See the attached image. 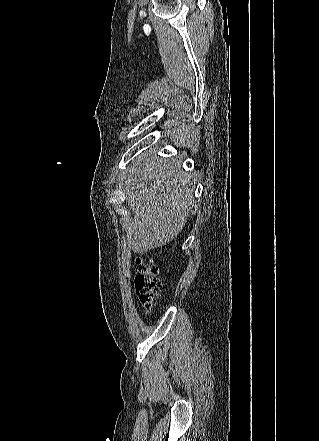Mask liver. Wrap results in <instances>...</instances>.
<instances>
[{
    "label": "liver",
    "instance_id": "1",
    "mask_svg": "<svg viewBox=\"0 0 319 441\" xmlns=\"http://www.w3.org/2000/svg\"><path fill=\"white\" fill-rule=\"evenodd\" d=\"M126 186L134 213L127 226L128 246L137 253L166 245L183 229L194 203L193 175L181 160L157 158L154 151L136 157Z\"/></svg>",
    "mask_w": 319,
    "mask_h": 441
}]
</instances>
